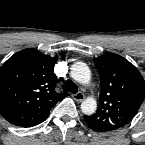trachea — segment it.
<instances>
[{
	"label": "trachea",
	"mask_w": 145,
	"mask_h": 145,
	"mask_svg": "<svg viewBox=\"0 0 145 145\" xmlns=\"http://www.w3.org/2000/svg\"><path fill=\"white\" fill-rule=\"evenodd\" d=\"M63 91L77 93L78 87L72 80H67L63 84Z\"/></svg>",
	"instance_id": "1"
}]
</instances>
